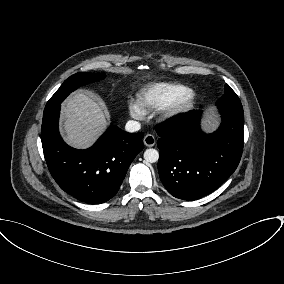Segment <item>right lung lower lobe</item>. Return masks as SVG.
<instances>
[{
	"mask_svg": "<svg viewBox=\"0 0 284 284\" xmlns=\"http://www.w3.org/2000/svg\"><path fill=\"white\" fill-rule=\"evenodd\" d=\"M60 105L43 113L41 141L48 169L62 190L91 204L111 199L143 149L142 132L130 134L111 125L90 148L69 147L58 131Z\"/></svg>",
	"mask_w": 284,
	"mask_h": 284,
	"instance_id": "1",
	"label": "right lung lower lobe"
}]
</instances>
